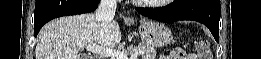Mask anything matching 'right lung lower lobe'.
Listing matches in <instances>:
<instances>
[{
	"mask_svg": "<svg viewBox=\"0 0 261 59\" xmlns=\"http://www.w3.org/2000/svg\"><path fill=\"white\" fill-rule=\"evenodd\" d=\"M99 0H36L34 14V36L50 20L67 15L94 11Z\"/></svg>",
	"mask_w": 261,
	"mask_h": 59,
	"instance_id": "obj_1",
	"label": "right lung lower lobe"
}]
</instances>
